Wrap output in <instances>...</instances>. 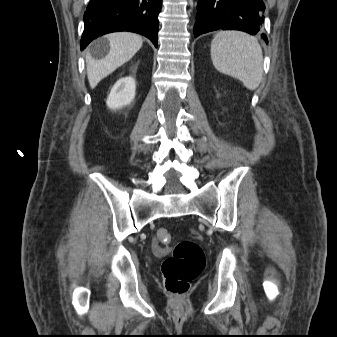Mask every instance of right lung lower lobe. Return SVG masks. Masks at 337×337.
Listing matches in <instances>:
<instances>
[{
    "label": "right lung lower lobe",
    "mask_w": 337,
    "mask_h": 337,
    "mask_svg": "<svg viewBox=\"0 0 337 337\" xmlns=\"http://www.w3.org/2000/svg\"><path fill=\"white\" fill-rule=\"evenodd\" d=\"M162 0H90L84 14L83 50L98 36L131 31L158 43V14Z\"/></svg>",
    "instance_id": "98d812e1"
}]
</instances>
